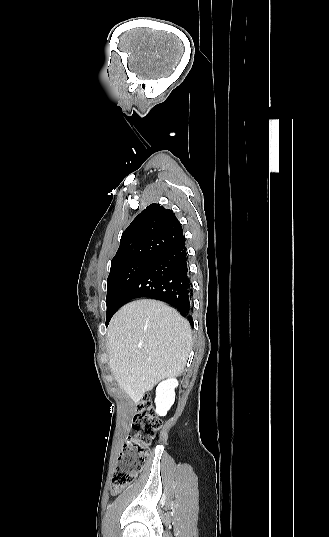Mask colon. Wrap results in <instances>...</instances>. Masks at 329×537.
Wrapping results in <instances>:
<instances>
[{"label":"colon","instance_id":"obj_1","mask_svg":"<svg viewBox=\"0 0 329 537\" xmlns=\"http://www.w3.org/2000/svg\"><path fill=\"white\" fill-rule=\"evenodd\" d=\"M162 427L149 397L137 405L132 421L134 433L127 437L111 478V493H121L143 468L151 445Z\"/></svg>","mask_w":329,"mask_h":537}]
</instances>
